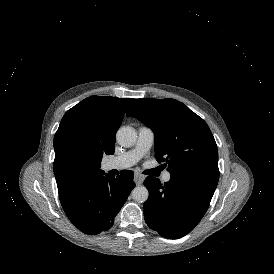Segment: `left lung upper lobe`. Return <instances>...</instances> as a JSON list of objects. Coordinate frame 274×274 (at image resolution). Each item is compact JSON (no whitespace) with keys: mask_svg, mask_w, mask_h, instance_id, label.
<instances>
[{"mask_svg":"<svg viewBox=\"0 0 274 274\" xmlns=\"http://www.w3.org/2000/svg\"><path fill=\"white\" fill-rule=\"evenodd\" d=\"M155 134V158L171 176L217 184L218 150L197 114L175 99H136L127 111Z\"/></svg>","mask_w":274,"mask_h":274,"instance_id":"obj_1","label":"left lung upper lobe"}]
</instances>
